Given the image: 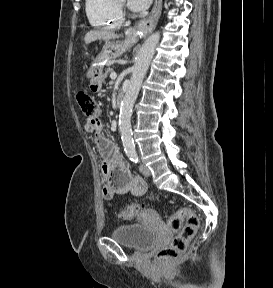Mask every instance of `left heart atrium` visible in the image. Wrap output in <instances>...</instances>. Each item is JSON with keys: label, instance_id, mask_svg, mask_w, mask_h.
Segmentation results:
<instances>
[{"label": "left heart atrium", "instance_id": "obj_1", "mask_svg": "<svg viewBox=\"0 0 273 288\" xmlns=\"http://www.w3.org/2000/svg\"><path fill=\"white\" fill-rule=\"evenodd\" d=\"M152 0H127V4L134 12H142L151 4Z\"/></svg>", "mask_w": 273, "mask_h": 288}]
</instances>
